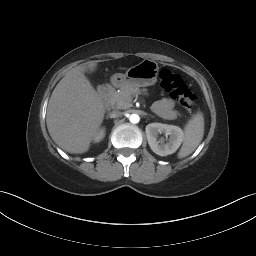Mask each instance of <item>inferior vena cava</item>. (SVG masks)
I'll return each instance as SVG.
<instances>
[{"instance_id": "602c4592", "label": "inferior vena cava", "mask_w": 256, "mask_h": 256, "mask_svg": "<svg viewBox=\"0 0 256 256\" xmlns=\"http://www.w3.org/2000/svg\"><path fill=\"white\" fill-rule=\"evenodd\" d=\"M122 115V112H120L119 110H114L110 113V117L111 118H116Z\"/></svg>"}]
</instances>
